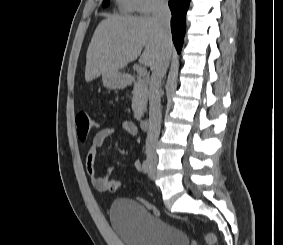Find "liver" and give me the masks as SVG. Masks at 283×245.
<instances>
[{
    "label": "liver",
    "instance_id": "obj_1",
    "mask_svg": "<svg viewBox=\"0 0 283 245\" xmlns=\"http://www.w3.org/2000/svg\"><path fill=\"white\" fill-rule=\"evenodd\" d=\"M172 50L170 44V53ZM139 56V62L151 70L160 61L162 40L158 24L151 17L108 16L99 23L89 44L85 80L90 82L107 71H119Z\"/></svg>",
    "mask_w": 283,
    "mask_h": 245
}]
</instances>
